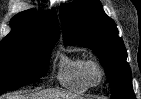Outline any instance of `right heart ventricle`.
I'll return each instance as SVG.
<instances>
[{"instance_id": "right-heart-ventricle-1", "label": "right heart ventricle", "mask_w": 141, "mask_h": 99, "mask_svg": "<svg viewBox=\"0 0 141 99\" xmlns=\"http://www.w3.org/2000/svg\"><path fill=\"white\" fill-rule=\"evenodd\" d=\"M87 59L81 54L63 55L59 62L57 79L65 88L83 93L91 87L83 76Z\"/></svg>"}]
</instances>
